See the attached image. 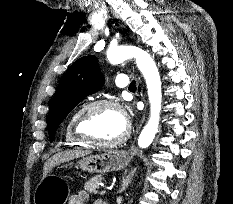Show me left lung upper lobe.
Instances as JSON below:
<instances>
[{
    "label": "left lung upper lobe",
    "mask_w": 233,
    "mask_h": 204,
    "mask_svg": "<svg viewBox=\"0 0 233 204\" xmlns=\"http://www.w3.org/2000/svg\"><path fill=\"white\" fill-rule=\"evenodd\" d=\"M104 78L95 56L75 61L59 82L48 114V132L52 142L57 128L79 100L100 90Z\"/></svg>",
    "instance_id": "left-lung-upper-lobe-1"
}]
</instances>
